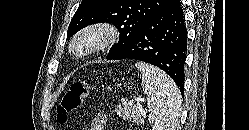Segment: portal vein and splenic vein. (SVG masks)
I'll list each match as a JSON object with an SVG mask.
<instances>
[{"label": "portal vein and splenic vein", "mask_w": 249, "mask_h": 130, "mask_svg": "<svg viewBox=\"0 0 249 130\" xmlns=\"http://www.w3.org/2000/svg\"><path fill=\"white\" fill-rule=\"evenodd\" d=\"M137 101H138V100H137ZM141 112H142V114H143V115H145V114H146V112H145V111H141Z\"/></svg>", "instance_id": "obj_1"}]
</instances>
